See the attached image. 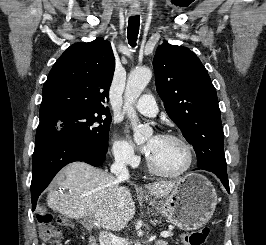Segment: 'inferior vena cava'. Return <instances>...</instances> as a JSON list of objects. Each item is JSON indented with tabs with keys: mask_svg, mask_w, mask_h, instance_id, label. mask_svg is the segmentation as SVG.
Returning a JSON list of instances; mask_svg holds the SVG:
<instances>
[{
	"mask_svg": "<svg viewBox=\"0 0 266 245\" xmlns=\"http://www.w3.org/2000/svg\"><path fill=\"white\" fill-rule=\"evenodd\" d=\"M111 173L115 175L117 181H127L129 179V171L126 167L125 159L122 155H116L113 165L110 167ZM114 235L108 231H101L99 235L100 245H115Z\"/></svg>",
	"mask_w": 266,
	"mask_h": 245,
	"instance_id": "1",
	"label": "inferior vena cava"
}]
</instances>
